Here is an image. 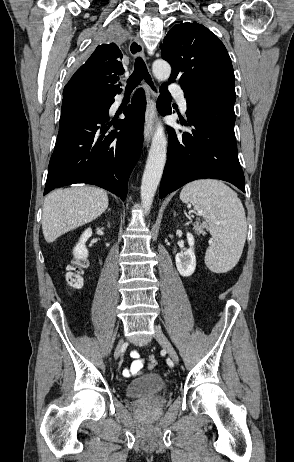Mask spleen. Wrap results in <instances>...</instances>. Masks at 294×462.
I'll return each instance as SVG.
<instances>
[{
  "label": "spleen",
  "mask_w": 294,
  "mask_h": 462,
  "mask_svg": "<svg viewBox=\"0 0 294 462\" xmlns=\"http://www.w3.org/2000/svg\"><path fill=\"white\" fill-rule=\"evenodd\" d=\"M180 199L202 211L209 224L214 241L205 255L208 268L215 273L230 271L241 257L247 232L245 211L237 193L221 181L205 179L185 185Z\"/></svg>",
  "instance_id": "obj_1"
}]
</instances>
